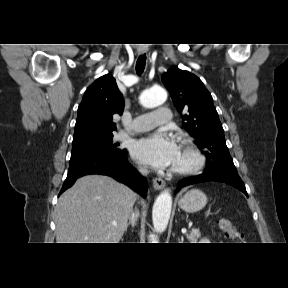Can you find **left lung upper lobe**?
Here are the masks:
<instances>
[{
	"label": "left lung upper lobe",
	"instance_id": "1",
	"mask_svg": "<svg viewBox=\"0 0 288 288\" xmlns=\"http://www.w3.org/2000/svg\"><path fill=\"white\" fill-rule=\"evenodd\" d=\"M162 82L185 121L184 128L196 138L195 143L206 155L204 172L238 175L212 96L202 81L188 71L172 67L162 75Z\"/></svg>",
	"mask_w": 288,
	"mask_h": 288
}]
</instances>
